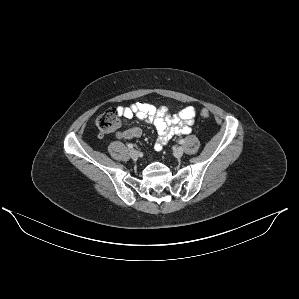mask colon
<instances>
[{
    "instance_id": "colon-1",
    "label": "colon",
    "mask_w": 299,
    "mask_h": 299,
    "mask_svg": "<svg viewBox=\"0 0 299 299\" xmlns=\"http://www.w3.org/2000/svg\"><path fill=\"white\" fill-rule=\"evenodd\" d=\"M201 116L203 118H208L209 117L208 110L203 109L201 111ZM96 125L98 129L103 133L116 131L119 127V119L117 113L112 110H108L104 112L97 118Z\"/></svg>"
}]
</instances>
